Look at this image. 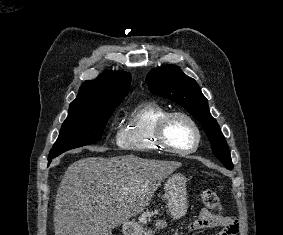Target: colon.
Segmentation results:
<instances>
[{"mask_svg": "<svg viewBox=\"0 0 283 235\" xmlns=\"http://www.w3.org/2000/svg\"><path fill=\"white\" fill-rule=\"evenodd\" d=\"M203 203L210 209L220 211L221 204L217 194L212 189H203L201 192Z\"/></svg>", "mask_w": 283, "mask_h": 235, "instance_id": "1", "label": "colon"}]
</instances>
